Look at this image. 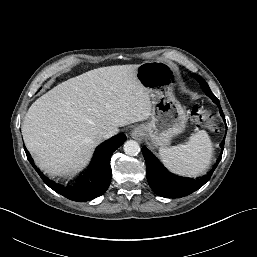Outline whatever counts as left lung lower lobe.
Segmentation results:
<instances>
[{
  "instance_id": "left-lung-lower-lobe-1",
  "label": "left lung lower lobe",
  "mask_w": 257,
  "mask_h": 257,
  "mask_svg": "<svg viewBox=\"0 0 257 257\" xmlns=\"http://www.w3.org/2000/svg\"><path fill=\"white\" fill-rule=\"evenodd\" d=\"M217 105L222 117L224 118L220 103H217ZM220 146L223 151L224 141ZM142 153L146 161V172L149 186L157 195L166 198H180L193 193L210 179L216 168L215 166L207 175L201 178L193 179L179 177L167 171V169L147 148L143 147ZM220 160L221 158H219L217 164Z\"/></svg>"
}]
</instances>
